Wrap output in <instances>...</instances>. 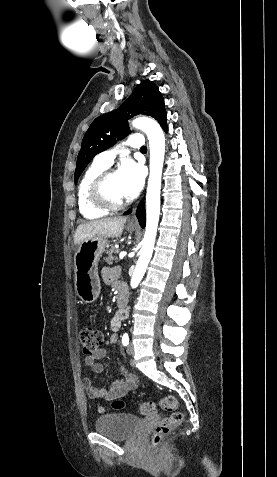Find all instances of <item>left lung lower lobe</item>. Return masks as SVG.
<instances>
[{
  "instance_id": "obj_1",
  "label": "left lung lower lobe",
  "mask_w": 277,
  "mask_h": 477,
  "mask_svg": "<svg viewBox=\"0 0 277 477\" xmlns=\"http://www.w3.org/2000/svg\"><path fill=\"white\" fill-rule=\"evenodd\" d=\"M162 128L164 129L165 132H167L168 130V127H167V124L165 123ZM131 213V210L125 212L124 214L127 215V214H130ZM136 216L139 220V224L141 225V227L144 228L145 226V207H144V203L141 202L139 204V207L137 209V212H136Z\"/></svg>"
}]
</instances>
